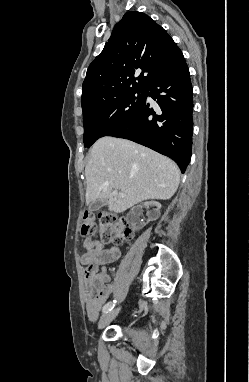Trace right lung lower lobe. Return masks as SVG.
I'll use <instances>...</instances> for the list:
<instances>
[{"label":"right lung lower lobe","instance_id":"right-lung-lower-lobe-1","mask_svg":"<svg viewBox=\"0 0 249 382\" xmlns=\"http://www.w3.org/2000/svg\"><path fill=\"white\" fill-rule=\"evenodd\" d=\"M144 93L139 111L108 136L125 138L166 155L184 173L191 158L193 130V89L185 59L155 76Z\"/></svg>","mask_w":249,"mask_h":382}]
</instances>
